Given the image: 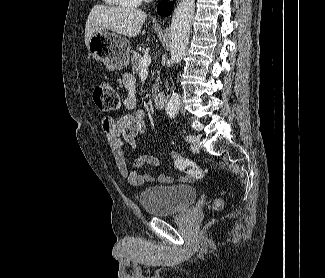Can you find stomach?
Segmentation results:
<instances>
[{
	"label": "stomach",
	"mask_w": 325,
	"mask_h": 278,
	"mask_svg": "<svg viewBox=\"0 0 325 278\" xmlns=\"http://www.w3.org/2000/svg\"><path fill=\"white\" fill-rule=\"evenodd\" d=\"M87 48L93 58L111 70H120L128 65L131 46L124 37L98 31L91 36Z\"/></svg>",
	"instance_id": "0dacf381"
}]
</instances>
